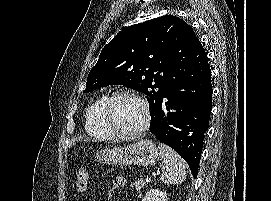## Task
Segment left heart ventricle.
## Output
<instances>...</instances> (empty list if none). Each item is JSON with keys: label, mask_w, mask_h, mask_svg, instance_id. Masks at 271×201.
<instances>
[{"label": "left heart ventricle", "mask_w": 271, "mask_h": 201, "mask_svg": "<svg viewBox=\"0 0 271 201\" xmlns=\"http://www.w3.org/2000/svg\"><path fill=\"white\" fill-rule=\"evenodd\" d=\"M111 113L116 126L124 131L136 130L144 121L142 105L130 96L119 97L114 102Z\"/></svg>", "instance_id": "obj_1"}]
</instances>
